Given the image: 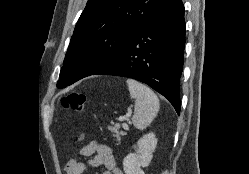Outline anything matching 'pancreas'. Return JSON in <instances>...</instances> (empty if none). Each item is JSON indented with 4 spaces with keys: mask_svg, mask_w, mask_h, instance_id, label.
Instances as JSON below:
<instances>
[{
    "mask_svg": "<svg viewBox=\"0 0 249 174\" xmlns=\"http://www.w3.org/2000/svg\"><path fill=\"white\" fill-rule=\"evenodd\" d=\"M108 129L113 133V137H115L118 141L121 140V136L126 134L124 131L120 130V124L108 126Z\"/></svg>",
    "mask_w": 249,
    "mask_h": 174,
    "instance_id": "1",
    "label": "pancreas"
}]
</instances>
